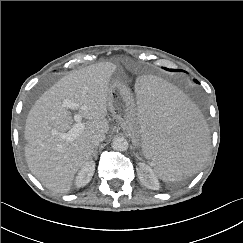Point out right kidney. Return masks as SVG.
<instances>
[{"mask_svg": "<svg viewBox=\"0 0 243 243\" xmlns=\"http://www.w3.org/2000/svg\"><path fill=\"white\" fill-rule=\"evenodd\" d=\"M94 171L95 163L93 161H89L88 163H86L79 171L75 180V185L77 187H82L88 184L94 174Z\"/></svg>", "mask_w": 243, "mask_h": 243, "instance_id": "1", "label": "right kidney"}]
</instances>
